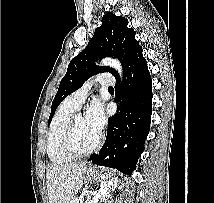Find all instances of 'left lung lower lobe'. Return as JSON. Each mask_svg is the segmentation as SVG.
I'll list each match as a JSON object with an SVG mask.
<instances>
[{
  "instance_id": "obj_1",
  "label": "left lung lower lobe",
  "mask_w": 214,
  "mask_h": 203,
  "mask_svg": "<svg viewBox=\"0 0 214 203\" xmlns=\"http://www.w3.org/2000/svg\"><path fill=\"white\" fill-rule=\"evenodd\" d=\"M116 79L121 112L108 119L106 141L88 160L131 175L144 151L152 114V80L142 50L123 72L122 85L119 76Z\"/></svg>"
}]
</instances>
